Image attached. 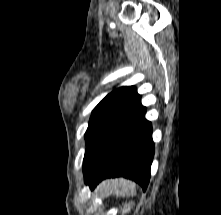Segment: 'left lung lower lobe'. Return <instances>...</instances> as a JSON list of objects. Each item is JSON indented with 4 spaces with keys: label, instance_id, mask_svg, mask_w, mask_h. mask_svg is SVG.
I'll use <instances>...</instances> for the list:
<instances>
[{
    "label": "left lung lower lobe",
    "instance_id": "0a47b994",
    "mask_svg": "<svg viewBox=\"0 0 221 215\" xmlns=\"http://www.w3.org/2000/svg\"><path fill=\"white\" fill-rule=\"evenodd\" d=\"M145 112L139 98L113 122L90 171L84 176L91 190L111 177L131 179L146 190L154 143L151 122L145 119Z\"/></svg>",
    "mask_w": 221,
    "mask_h": 215
}]
</instances>
